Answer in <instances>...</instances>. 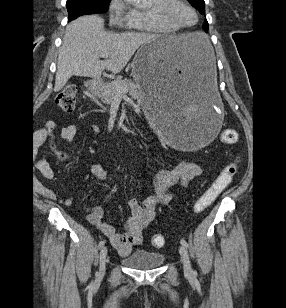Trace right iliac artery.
<instances>
[{
  "label": "right iliac artery",
  "mask_w": 286,
  "mask_h": 308,
  "mask_svg": "<svg viewBox=\"0 0 286 308\" xmlns=\"http://www.w3.org/2000/svg\"><path fill=\"white\" fill-rule=\"evenodd\" d=\"M104 245H105V240H101L98 245L99 249L103 248Z\"/></svg>",
  "instance_id": "1"
}]
</instances>
